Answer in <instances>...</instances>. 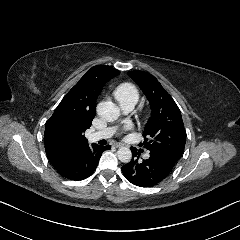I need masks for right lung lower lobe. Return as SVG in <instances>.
<instances>
[{
    "mask_svg": "<svg viewBox=\"0 0 240 240\" xmlns=\"http://www.w3.org/2000/svg\"><path fill=\"white\" fill-rule=\"evenodd\" d=\"M111 146L93 144L78 152L63 153L48 157L59 175L70 180H82L94 172L102 153Z\"/></svg>",
    "mask_w": 240,
    "mask_h": 240,
    "instance_id": "98d812e1",
    "label": "right lung lower lobe"
}]
</instances>
